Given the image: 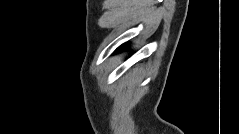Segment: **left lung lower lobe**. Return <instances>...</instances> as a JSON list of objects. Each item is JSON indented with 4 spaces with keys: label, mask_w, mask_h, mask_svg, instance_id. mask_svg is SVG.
Segmentation results:
<instances>
[{
    "label": "left lung lower lobe",
    "mask_w": 239,
    "mask_h": 134,
    "mask_svg": "<svg viewBox=\"0 0 239 134\" xmlns=\"http://www.w3.org/2000/svg\"><path fill=\"white\" fill-rule=\"evenodd\" d=\"M124 49H127V45L120 46L116 51H122Z\"/></svg>",
    "instance_id": "obj_1"
}]
</instances>
